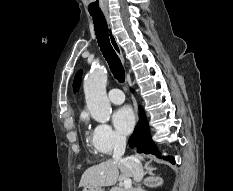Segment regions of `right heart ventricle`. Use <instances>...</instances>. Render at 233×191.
<instances>
[{
	"label": "right heart ventricle",
	"mask_w": 233,
	"mask_h": 191,
	"mask_svg": "<svg viewBox=\"0 0 233 191\" xmlns=\"http://www.w3.org/2000/svg\"><path fill=\"white\" fill-rule=\"evenodd\" d=\"M92 142H93V137H92ZM94 150H95L96 152H98V151L95 149V147H94Z\"/></svg>",
	"instance_id": "right-heart-ventricle-1"
}]
</instances>
